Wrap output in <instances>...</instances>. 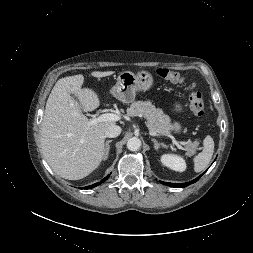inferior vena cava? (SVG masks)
I'll return each mask as SVG.
<instances>
[{
  "label": "inferior vena cava",
  "mask_w": 253,
  "mask_h": 253,
  "mask_svg": "<svg viewBox=\"0 0 253 253\" xmlns=\"http://www.w3.org/2000/svg\"><path fill=\"white\" fill-rule=\"evenodd\" d=\"M121 133V127L118 125H111L105 130V137L114 138L119 136Z\"/></svg>",
  "instance_id": "1"
}]
</instances>
